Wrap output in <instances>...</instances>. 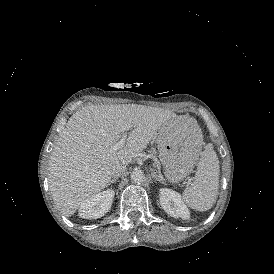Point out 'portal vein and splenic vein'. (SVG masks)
<instances>
[{
  "label": "portal vein and splenic vein",
  "mask_w": 274,
  "mask_h": 274,
  "mask_svg": "<svg viewBox=\"0 0 274 274\" xmlns=\"http://www.w3.org/2000/svg\"><path fill=\"white\" fill-rule=\"evenodd\" d=\"M132 128L131 124H126L122 127L123 134L121 139L113 146V150H118L125 146L126 139H127V131H129Z\"/></svg>",
  "instance_id": "1"
}]
</instances>
